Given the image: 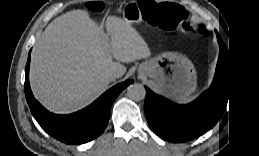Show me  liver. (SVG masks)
Returning <instances> with one entry per match:
<instances>
[{
	"mask_svg": "<svg viewBox=\"0 0 259 156\" xmlns=\"http://www.w3.org/2000/svg\"><path fill=\"white\" fill-rule=\"evenodd\" d=\"M104 27L106 33L88 12L72 10L55 18L36 41L30 85L48 110L67 114L86 107L107 89L110 73L126 72L120 62L150 56L131 22L111 17Z\"/></svg>",
	"mask_w": 259,
	"mask_h": 156,
	"instance_id": "obj_1",
	"label": "liver"
}]
</instances>
